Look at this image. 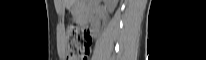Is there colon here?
Listing matches in <instances>:
<instances>
[{
	"label": "colon",
	"mask_w": 206,
	"mask_h": 60,
	"mask_svg": "<svg viewBox=\"0 0 206 60\" xmlns=\"http://www.w3.org/2000/svg\"><path fill=\"white\" fill-rule=\"evenodd\" d=\"M66 39L68 59L85 60L89 50V34L81 33L76 25L70 24L66 30Z\"/></svg>",
	"instance_id": "colon-1"
}]
</instances>
